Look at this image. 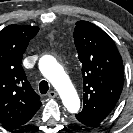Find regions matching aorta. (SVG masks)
I'll return each instance as SVG.
<instances>
[{
	"label": "aorta",
	"mask_w": 133,
	"mask_h": 133,
	"mask_svg": "<svg viewBox=\"0 0 133 133\" xmlns=\"http://www.w3.org/2000/svg\"><path fill=\"white\" fill-rule=\"evenodd\" d=\"M39 69L43 76L57 90L66 109L71 113L78 112L80 109L78 94L57 60L50 55L43 56L39 61Z\"/></svg>",
	"instance_id": "1"
}]
</instances>
